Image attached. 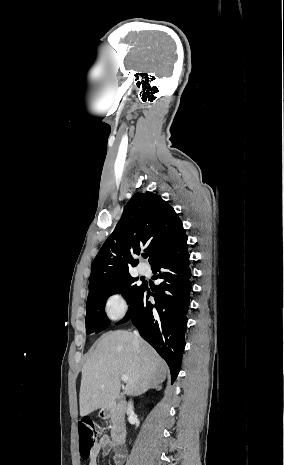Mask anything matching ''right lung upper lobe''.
<instances>
[{"mask_svg":"<svg viewBox=\"0 0 284 465\" xmlns=\"http://www.w3.org/2000/svg\"><path fill=\"white\" fill-rule=\"evenodd\" d=\"M186 237L181 219L161 196L152 192L133 195L92 263L89 292L130 276L129 269L137 265L133 254L148 252L152 265Z\"/></svg>","mask_w":284,"mask_h":465,"instance_id":"cb5924a9","label":"right lung upper lobe"}]
</instances>
